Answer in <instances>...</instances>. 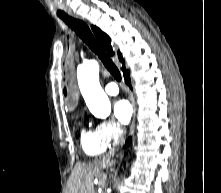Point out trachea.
I'll return each mask as SVG.
<instances>
[{"mask_svg": "<svg viewBox=\"0 0 221 193\" xmlns=\"http://www.w3.org/2000/svg\"><path fill=\"white\" fill-rule=\"evenodd\" d=\"M59 17L85 42L88 47L98 55L107 70L118 81H121V74L112 59L106 54L100 44L94 38L92 32L85 22L73 18L67 14L59 15Z\"/></svg>", "mask_w": 221, "mask_h": 193, "instance_id": "obj_1", "label": "trachea"}]
</instances>
